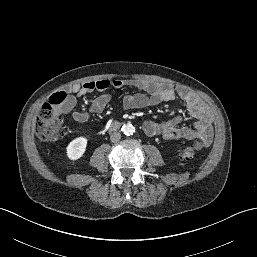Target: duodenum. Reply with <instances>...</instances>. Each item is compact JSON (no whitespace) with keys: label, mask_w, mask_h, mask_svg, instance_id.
Wrapping results in <instances>:
<instances>
[{"label":"duodenum","mask_w":257,"mask_h":257,"mask_svg":"<svg viewBox=\"0 0 257 257\" xmlns=\"http://www.w3.org/2000/svg\"><path fill=\"white\" fill-rule=\"evenodd\" d=\"M120 127V123L119 122H112L110 125H109V129L111 131H114L116 129H118Z\"/></svg>","instance_id":"duodenum-1"}]
</instances>
